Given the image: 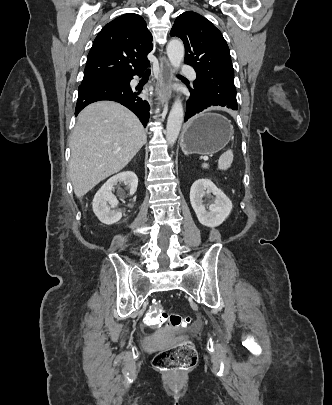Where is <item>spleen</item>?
<instances>
[{"label":"spleen","mask_w":332,"mask_h":405,"mask_svg":"<svg viewBox=\"0 0 332 405\" xmlns=\"http://www.w3.org/2000/svg\"><path fill=\"white\" fill-rule=\"evenodd\" d=\"M233 151L232 150H227L226 152H224L219 159L218 162V168L220 170H227L228 168L231 167V164L233 162ZM203 168H208V164H202Z\"/></svg>","instance_id":"1"}]
</instances>
